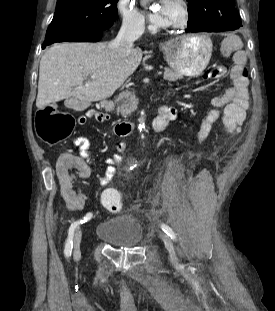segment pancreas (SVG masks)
Returning a JSON list of instances; mask_svg holds the SVG:
<instances>
[{"mask_svg": "<svg viewBox=\"0 0 275 311\" xmlns=\"http://www.w3.org/2000/svg\"><path fill=\"white\" fill-rule=\"evenodd\" d=\"M182 76L168 68H165L164 79L170 82L181 79ZM116 111L123 117L129 116L137 108V99L134 92L125 91L119 94L115 100Z\"/></svg>", "mask_w": 275, "mask_h": 311, "instance_id": "obj_1", "label": "pancreas"}]
</instances>
